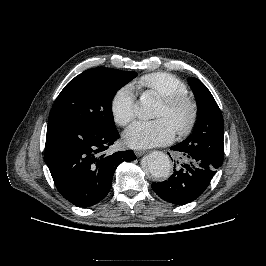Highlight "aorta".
I'll list each match as a JSON object with an SVG mask.
<instances>
[{
  "mask_svg": "<svg viewBox=\"0 0 266 266\" xmlns=\"http://www.w3.org/2000/svg\"><path fill=\"white\" fill-rule=\"evenodd\" d=\"M155 98L144 94L135 105L134 112L140 119H149L154 114ZM145 166L150 174L157 178L167 177L170 173L171 165L169 157L161 151H153L145 158Z\"/></svg>",
  "mask_w": 266,
  "mask_h": 266,
  "instance_id": "762f6f07",
  "label": "aorta"
}]
</instances>
